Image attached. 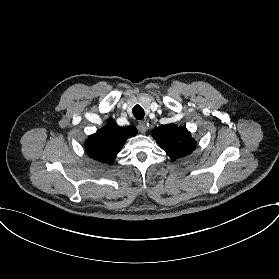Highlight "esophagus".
<instances>
[{"label": "esophagus", "mask_w": 279, "mask_h": 279, "mask_svg": "<svg viewBox=\"0 0 279 279\" xmlns=\"http://www.w3.org/2000/svg\"><path fill=\"white\" fill-rule=\"evenodd\" d=\"M137 129L140 133L144 134L147 131L148 127L144 121H139L137 124Z\"/></svg>", "instance_id": "34e87169"}]
</instances>
